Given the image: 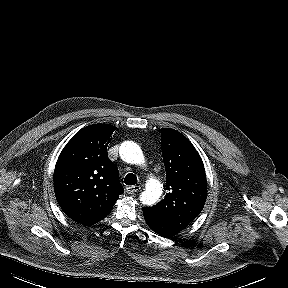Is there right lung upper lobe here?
<instances>
[{
    "label": "right lung upper lobe",
    "mask_w": 288,
    "mask_h": 288,
    "mask_svg": "<svg viewBox=\"0 0 288 288\" xmlns=\"http://www.w3.org/2000/svg\"><path fill=\"white\" fill-rule=\"evenodd\" d=\"M116 128L90 125L62 150L54 171V191L64 213L89 226L104 219L124 192L119 171L108 158L107 146Z\"/></svg>",
    "instance_id": "obj_1"
}]
</instances>
